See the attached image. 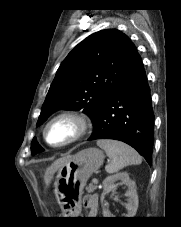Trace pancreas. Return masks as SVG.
Returning <instances> with one entry per match:
<instances>
[{
	"mask_svg": "<svg viewBox=\"0 0 181 227\" xmlns=\"http://www.w3.org/2000/svg\"><path fill=\"white\" fill-rule=\"evenodd\" d=\"M96 189H97V186L96 184H93V183L89 184V186L86 187V191L88 193H93Z\"/></svg>",
	"mask_w": 181,
	"mask_h": 227,
	"instance_id": "obj_1",
	"label": "pancreas"
}]
</instances>
